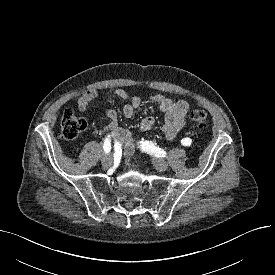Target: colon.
I'll return each mask as SVG.
<instances>
[{
    "label": "colon",
    "mask_w": 275,
    "mask_h": 275,
    "mask_svg": "<svg viewBox=\"0 0 275 275\" xmlns=\"http://www.w3.org/2000/svg\"><path fill=\"white\" fill-rule=\"evenodd\" d=\"M188 120L198 127H205L208 116L205 110L195 109L188 115ZM86 119L71 109H66L61 118V133L63 138L74 140L86 128Z\"/></svg>",
    "instance_id": "1"
}]
</instances>
